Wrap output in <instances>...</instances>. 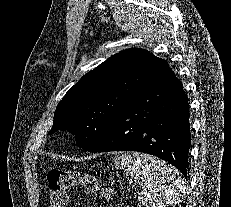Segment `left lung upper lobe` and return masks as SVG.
I'll list each match as a JSON object with an SVG mask.
<instances>
[{
    "label": "left lung upper lobe",
    "mask_w": 231,
    "mask_h": 207,
    "mask_svg": "<svg viewBox=\"0 0 231 207\" xmlns=\"http://www.w3.org/2000/svg\"><path fill=\"white\" fill-rule=\"evenodd\" d=\"M159 60L138 48L111 56L65 94L48 134L68 130L77 145L87 150L113 117L141 92Z\"/></svg>",
    "instance_id": "5c2ea615"
}]
</instances>
